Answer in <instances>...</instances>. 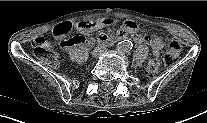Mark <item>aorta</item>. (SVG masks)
<instances>
[{"mask_svg":"<svg viewBox=\"0 0 207 123\" xmlns=\"http://www.w3.org/2000/svg\"><path fill=\"white\" fill-rule=\"evenodd\" d=\"M133 44L129 40H123L118 43V49L121 51H129L132 48Z\"/></svg>","mask_w":207,"mask_h":123,"instance_id":"obj_1","label":"aorta"}]
</instances>
